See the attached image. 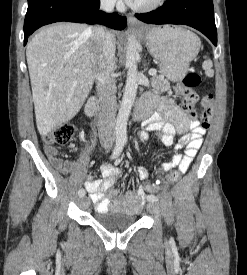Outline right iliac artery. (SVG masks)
I'll list each match as a JSON object with an SVG mask.
<instances>
[{
	"mask_svg": "<svg viewBox=\"0 0 247 275\" xmlns=\"http://www.w3.org/2000/svg\"><path fill=\"white\" fill-rule=\"evenodd\" d=\"M123 142H121V141H118L117 143H116V146H115V148H114V151H113V153H112V155H111V158L112 159H114V158H116V157H118L119 155H120V153L122 152V149H123ZM78 195L80 196V197H83L84 195H85V190L84 189H80L79 191H78Z\"/></svg>",
	"mask_w": 247,
	"mask_h": 275,
	"instance_id": "right-iliac-artery-1",
	"label": "right iliac artery"
}]
</instances>
